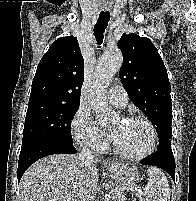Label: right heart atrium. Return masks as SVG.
I'll use <instances>...</instances> for the list:
<instances>
[{
  "mask_svg": "<svg viewBox=\"0 0 196 201\" xmlns=\"http://www.w3.org/2000/svg\"><path fill=\"white\" fill-rule=\"evenodd\" d=\"M71 133L75 144L96 152L109 146L108 135L93 120L90 112L80 107L71 122Z\"/></svg>",
  "mask_w": 196,
  "mask_h": 201,
  "instance_id": "obj_1",
  "label": "right heart atrium"
}]
</instances>
